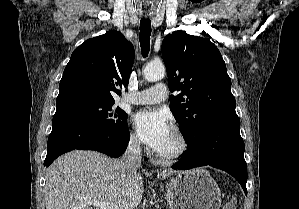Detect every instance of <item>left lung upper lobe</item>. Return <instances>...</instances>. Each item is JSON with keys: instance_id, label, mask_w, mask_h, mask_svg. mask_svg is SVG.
I'll list each match as a JSON object with an SVG mask.
<instances>
[{"instance_id": "1", "label": "left lung upper lobe", "mask_w": 299, "mask_h": 209, "mask_svg": "<svg viewBox=\"0 0 299 209\" xmlns=\"http://www.w3.org/2000/svg\"><path fill=\"white\" fill-rule=\"evenodd\" d=\"M162 56L170 91H181L170 97V107L187 142L213 121L237 115L231 79L212 42L175 31L164 38Z\"/></svg>"}]
</instances>
